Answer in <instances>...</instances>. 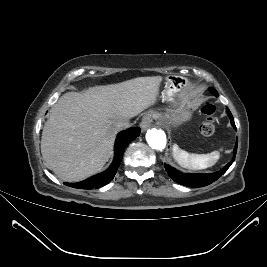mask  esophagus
<instances>
[{
  "instance_id": "obj_1",
  "label": "esophagus",
  "mask_w": 267,
  "mask_h": 267,
  "mask_svg": "<svg viewBox=\"0 0 267 267\" xmlns=\"http://www.w3.org/2000/svg\"><path fill=\"white\" fill-rule=\"evenodd\" d=\"M151 122H152V117L151 115H145L140 123V127L142 129V131H146L150 126H151Z\"/></svg>"
}]
</instances>
